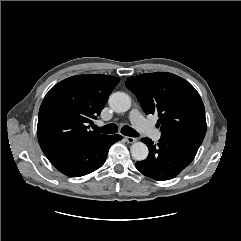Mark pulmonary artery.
<instances>
[{"label":"pulmonary artery","instance_id":"e3ab8cb5","mask_svg":"<svg viewBox=\"0 0 241 241\" xmlns=\"http://www.w3.org/2000/svg\"><path fill=\"white\" fill-rule=\"evenodd\" d=\"M129 119L138 131L152 138L154 141H158L161 138V133L146 121L137 109H133L130 112Z\"/></svg>","mask_w":241,"mask_h":241}]
</instances>
